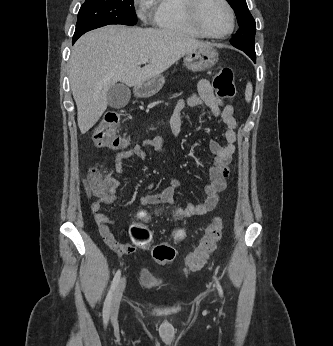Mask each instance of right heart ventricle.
Segmentation results:
<instances>
[{"label": "right heart ventricle", "mask_w": 333, "mask_h": 346, "mask_svg": "<svg viewBox=\"0 0 333 346\" xmlns=\"http://www.w3.org/2000/svg\"><path fill=\"white\" fill-rule=\"evenodd\" d=\"M154 22L163 30L202 37L189 20L185 0H159Z\"/></svg>", "instance_id": "right-heart-ventricle-1"}]
</instances>
